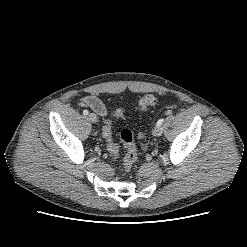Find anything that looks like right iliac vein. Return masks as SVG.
Returning <instances> with one entry per match:
<instances>
[{
	"label": "right iliac vein",
	"instance_id": "1",
	"mask_svg": "<svg viewBox=\"0 0 247 247\" xmlns=\"http://www.w3.org/2000/svg\"><path fill=\"white\" fill-rule=\"evenodd\" d=\"M88 118L91 122L96 123L98 121L97 116L94 113H90Z\"/></svg>",
	"mask_w": 247,
	"mask_h": 247
}]
</instances>
